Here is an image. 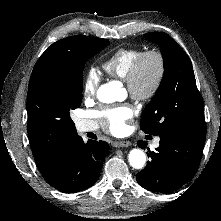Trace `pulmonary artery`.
I'll use <instances>...</instances> for the list:
<instances>
[{
  "mask_svg": "<svg viewBox=\"0 0 221 221\" xmlns=\"http://www.w3.org/2000/svg\"><path fill=\"white\" fill-rule=\"evenodd\" d=\"M76 129L79 133H85V132H89V131H94L97 129V125L95 122L93 121H89V120H78L76 121ZM155 146L159 145V140H156L154 142Z\"/></svg>",
  "mask_w": 221,
  "mask_h": 221,
  "instance_id": "e3ab8cb5",
  "label": "pulmonary artery"
}]
</instances>
